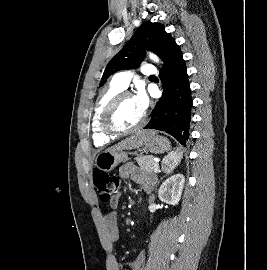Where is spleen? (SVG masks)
<instances>
[{"label": "spleen", "instance_id": "1", "mask_svg": "<svg viewBox=\"0 0 267 270\" xmlns=\"http://www.w3.org/2000/svg\"><path fill=\"white\" fill-rule=\"evenodd\" d=\"M182 154L179 151H173L163 159V169L166 172L172 171L181 161Z\"/></svg>", "mask_w": 267, "mask_h": 270}]
</instances>
